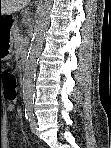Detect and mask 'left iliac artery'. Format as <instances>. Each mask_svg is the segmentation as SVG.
<instances>
[{
  "instance_id": "left-iliac-artery-1",
  "label": "left iliac artery",
  "mask_w": 111,
  "mask_h": 148,
  "mask_svg": "<svg viewBox=\"0 0 111 148\" xmlns=\"http://www.w3.org/2000/svg\"><path fill=\"white\" fill-rule=\"evenodd\" d=\"M25 117L29 121H31L32 118H33L32 104L31 103H26V105H25Z\"/></svg>"
}]
</instances>
